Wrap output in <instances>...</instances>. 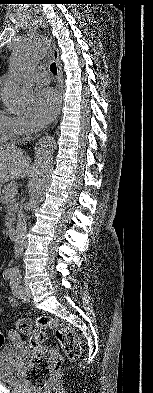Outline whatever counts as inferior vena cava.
<instances>
[{"instance_id": "obj_1", "label": "inferior vena cava", "mask_w": 153, "mask_h": 393, "mask_svg": "<svg viewBox=\"0 0 153 393\" xmlns=\"http://www.w3.org/2000/svg\"><path fill=\"white\" fill-rule=\"evenodd\" d=\"M38 132L36 129L35 133ZM27 218L24 214L22 204L20 205V210H18L17 214V226H16V238L14 244V254L15 259H18L24 250L26 245V232H27Z\"/></svg>"}]
</instances>
